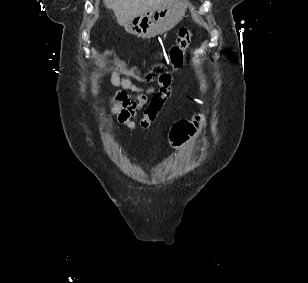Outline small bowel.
Instances as JSON below:
<instances>
[{
  "instance_id": "1",
  "label": "small bowel",
  "mask_w": 308,
  "mask_h": 283,
  "mask_svg": "<svg viewBox=\"0 0 308 283\" xmlns=\"http://www.w3.org/2000/svg\"><path fill=\"white\" fill-rule=\"evenodd\" d=\"M109 81L121 90L109 96L107 108L120 124L132 131L148 129L172 92V85L165 86L161 83L141 87L131 78L121 76L116 69L111 72Z\"/></svg>"
}]
</instances>
